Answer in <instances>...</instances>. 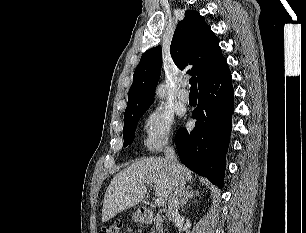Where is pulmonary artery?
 Here are the masks:
<instances>
[{
    "label": "pulmonary artery",
    "mask_w": 306,
    "mask_h": 233,
    "mask_svg": "<svg viewBox=\"0 0 306 233\" xmlns=\"http://www.w3.org/2000/svg\"><path fill=\"white\" fill-rule=\"evenodd\" d=\"M186 87H187V83L184 82L183 86H182V89L178 93V98L183 103H188L189 99H190V96H189V93H188Z\"/></svg>",
    "instance_id": "obj_1"
}]
</instances>
